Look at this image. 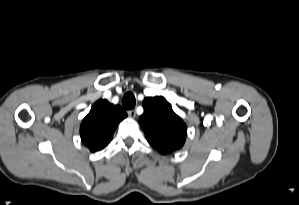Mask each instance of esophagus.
I'll list each match as a JSON object with an SVG mask.
<instances>
[{
  "label": "esophagus",
  "mask_w": 299,
  "mask_h": 205,
  "mask_svg": "<svg viewBox=\"0 0 299 205\" xmlns=\"http://www.w3.org/2000/svg\"><path fill=\"white\" fill-rule=\"evenodd\" d=\"M128 116L130 118H135L136 117V111L135 110H129L128 111Z\"/></svg>",
  "instance_id": "obj_1"
}]
</instances>
